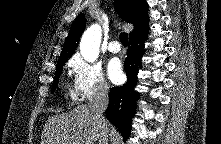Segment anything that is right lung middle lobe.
<instances>
[{"label":"right lung middle lobe","instance_id":"1","mask_svg":"<svg viewBox=\"0 0 221 144\" xmlns=\"http://www.w3.org/2000/svg\"><path fill=\"white\" fill-rule=\"evenodd\" d=\"M64 64H65V63L57 64L56 73H55V77H54V81H53V86H52V93H53V92L55 91V89L57 88L59 76H60V73L62 72V69H63Z\"/></svg>","mask_w":221,"mask_h":144}]
</instances>
